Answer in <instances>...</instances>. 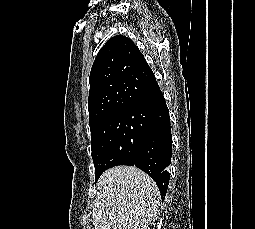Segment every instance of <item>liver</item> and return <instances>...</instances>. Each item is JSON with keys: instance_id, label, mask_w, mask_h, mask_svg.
I'll list each match as a JSON object with an SVG mask.
<instances>
[{"instance_id": "6515ba94", "label": "liver", "mask_w": 255, "mask_h": 229, "mask_svg": "<svg viewBox=\"0 0 255 229\" xmlns=\"http://www.w3.org/2000/svg\"><path fill=\"white\" fill-rule=\"evenodd\" d=\"M160 193L155 182L134 166H117L97 183L95 229H150L157 218Z\"/></svg>"}]
</instances>
